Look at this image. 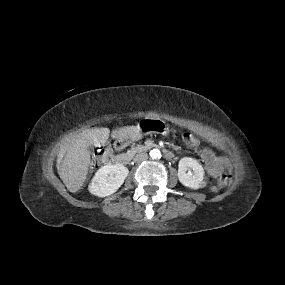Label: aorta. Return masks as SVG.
Masks as SVG:
<instances>
[{
	"label": "aorta",
	"instance_id": "aorta-1",
	"mask_svg": "<svg viewBox=\"0 0 285 285\" xmlns=\"http://www.w3.org/2000/svg\"><path fill=\"white\" fill-rule=\"evenodd\" d=\"M150 157L152 159H160L161 158V152L159 149H152L150 151Z\"/></svg>",
	"mask_w": 285,
	"mask_h": 285
}]
</instances>
